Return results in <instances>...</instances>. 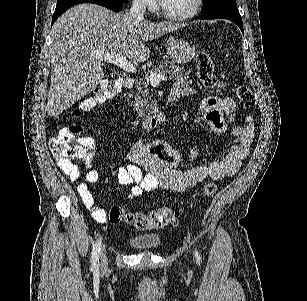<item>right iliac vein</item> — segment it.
<instances>
[{
	"instance_id": "63e3f726",
	"label": "right iliac vein",
	"mask_w": 307,
	"mask_h": 301,
	"mask_svg": "<svg viewBox=\"0 0 307 301\" xmlns=\"http://www.w3.org/2000/svg\"><path fill=\"white\" fill-rule=\"evenodd\" d=\"M108 261H107V256L104 250L101 251L100 253V261H99V268L101 270H104L107 267Z\"/></svg>"
}]
</instances>
